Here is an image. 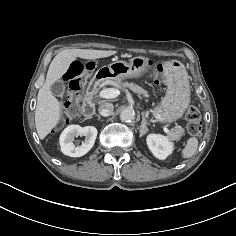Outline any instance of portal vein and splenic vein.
<instances>
[{"label": "portal vein and splenic vein", "instance_id": "1", "mask_svg": "<svg viewBox=\"0 0 236 236\" xmlns=\"http://www.w3.org/2000/svg\"><path fill=\"white\" fill-rule=\"evenodd\" d=\"M120 94V91L117 89H113V88H107V89H103L99 92L98 96L100 98H106V99H110V98H116L118 95ZM164 132L165 133H169V130L167 128H164Z\"/></svg>", "mask_w": 236, "mask_h": 236}]
</instances>
